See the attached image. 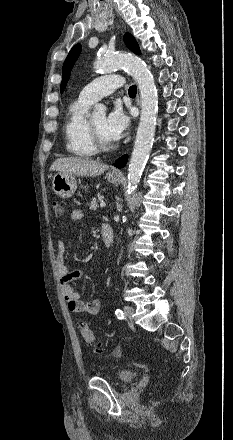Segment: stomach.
<instances>
[{"label": "stomach", "mask_w": 233, "mask_h": 440, "mask_svg": "<svg viewBox=\"0 0 233 440\" xmlns=\"http://www.w3.org/2000/svg\"><path fill=\"white\" fill-rule=\"evenodd\" d=\"M107 179L110 183L118 184L121 181V176L107 174ZM52 189L56 195L61 198H70L77 189L75 175L58 172L53 176Z\"/></svg>", "instance_id": "1"}]
</instances>
